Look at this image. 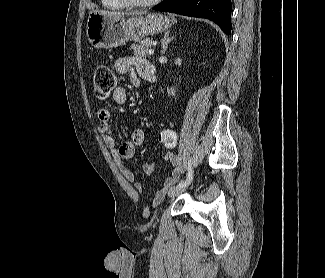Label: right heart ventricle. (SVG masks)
Returning a JSON list of instances; mask_svg holds the SVG:
<instances>
[{
  "instance_id": "obj_1",
  "label": "right heart ventricle",
  "mask_w": 325,
  "mask_h": 278,
  "mask_svg": "<svg viewBox=\"0 0 325 278\" xmlns=\"http://www.w3.org/2000/svg\"><path fill=\"white\" fill-rule=\"evenodd\" d=\"M101 4L109 10H122L127 7L120 0H101Z\"/></svg>"
}]
</instances>
